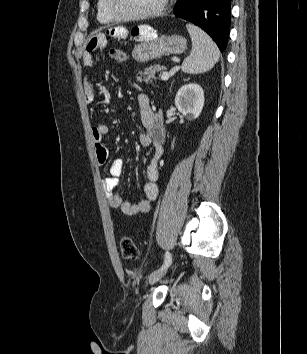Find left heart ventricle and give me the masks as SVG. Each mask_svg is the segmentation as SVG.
<instances>
[{
    "instance_id": "1",
    "label": "left heart ventricle",
    "mask_w": 307,
    "mask_h": 354,
    "mask_svg": "<svg viewBox=\"0 0 307 354\" xmlns=\"http://www.w3.org/2000/svg\"><path fill=\"white\" fill-rule=\"evenodd\" d=\"M159 2L160 0H114V5L119 13L132 15L151 11Z\"/></svg>"
}]
</instances>
